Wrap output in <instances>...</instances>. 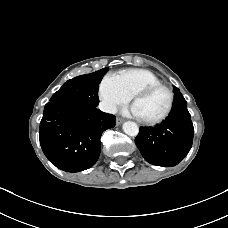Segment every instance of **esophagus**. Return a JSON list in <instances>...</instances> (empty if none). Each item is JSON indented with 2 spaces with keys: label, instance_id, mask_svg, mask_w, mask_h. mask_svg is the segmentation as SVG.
Instances as JSON below:
<instances>
[{
  "label": "esophagus",
  "instance_id": "esophagus-1",
  "mask_svg": "<svg viewBox=\"0 0 228 228\" xmlns=\"http://www.w3.org/2000/svg\"><path fill=\"white\" fill-rule=\"evenodd\" d=\"M123 122V119L121 118H116V124L120 125Z\"/></svg>",
  "mask_w": 228,
  "mask_h": 228
}]
</instances>
